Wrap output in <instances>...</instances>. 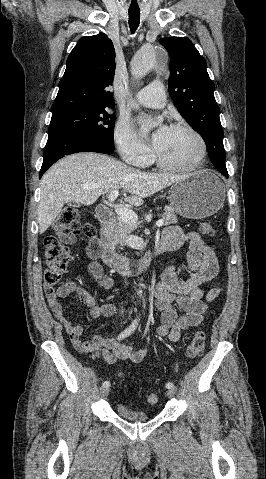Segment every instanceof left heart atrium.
Here are the masks:
<instances>
[{
  "instance_id": "1",
  "label": "left heart atrium",
  "mask_w": 266,
  "mask_h": 479,
  "mask_svg": "<svg viewBox=\"0 0 266 479\" xmlns=\"http://www.w3.org/2000/svg\"><path fill=\"white\" fill-rule=\"evenodd\" d=\"M168 128L167 127H161L158 129L153 137H152V145L154 146L155 150L159 148L161 145L166 133H167Z\"/></svg>"
}]
</instances>
